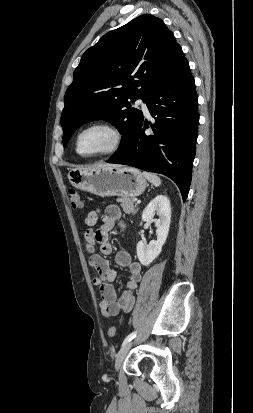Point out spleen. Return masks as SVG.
<instances>
[{
	"label": "spleen",
	"mask_w": 253,
	"mask_h": 413,
	"mask_svg": "<svg viewBox=\"0 0 253 413\" xmlns=\"http://www.w3.org/2000/svg\"><path fill=\"white\" fill-rule=\"evenodd\" d=\"M143 176L151 182L154 186H160L161 180L156 174H152L149 172H143Z\"/></svg>",
	"instance_id": "1"
}]
</instances>
